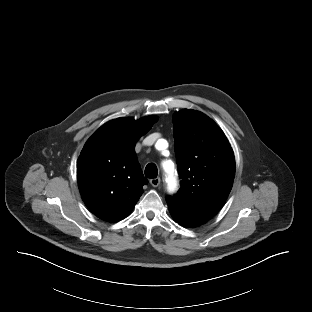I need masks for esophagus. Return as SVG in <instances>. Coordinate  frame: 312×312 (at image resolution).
I'll use <instances>...</instances> for the list:
<instances>
[{
    "instance_id": "esophagus-1",
    "label": "esophagus",
    "mask_w": 312,
    "mask_h": 312,
    "mask_svg": "<svg viewBox=\"0 0 312 312\" xmlns=\"http://www.w3.org/2000/svg\"><path fill=\"white\" fill-rule=\"evenodd\" d=\"M160 178L157 177V178H153L150 180V184L153 186V187H157L159 184H160Z\"/></svg>"
}]
</instances>
